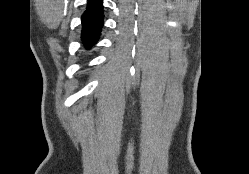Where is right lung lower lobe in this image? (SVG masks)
I'll return each mask as SVG.
<instances>
[{"mask_svg": "<svg viewBox=\"0 0 249 174\" xmlns=\"http://www.w3.org/2000/svg\"><path fill=\"white\" fill-rule=\"evenodd\" d=\"M102 25V0H89L87 10L82 15V40L86 47L98 41Z\"/></svg>", "mask_w": 249, "mask_h": 174, "instance_id": "right-lung-lower-lobe-1", "label": "right lung lower lobe"}]
</instances>
